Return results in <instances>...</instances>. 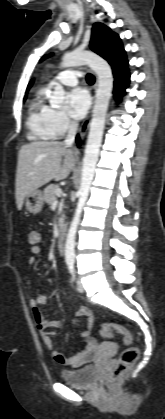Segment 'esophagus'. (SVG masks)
I'll use <instances>...</instances> for the list:
<instances>
[{"label": "esophagus", "instance_id": "esophagus-1", "mask_svg": "<svg viewBox=\"0 0 165 419\" xmlns=\"http://www.w3.org/2000/svg\"><path fill=\"white\" fill-rule=\"evenodd\" d=\"M95 88H96V83L93 86V90H95ZM90 117H91V115L89 113L88 116L85 118V120L82 122L81 126L78 129L77 135H79L81 138H84L87 131H88L89 124H90ZM74 153L75 154L78 153L77 147H74Z\"/></svg>", "mask_w": 165, "mask_h": 419}]
</instances>
